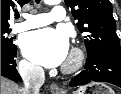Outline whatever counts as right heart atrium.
I'll return each instance as SVG.
<instances>
[{
	"mask_svg": "<svg viewBox=\"0 0 121 94\" xmlns=\"http://www.w3.org/2000/svg\"><path fill=\"white\" fill-rule=\"evenodd\" d=\"M19 71L21 75L28 77H33L40 74V68L27 59H23L19 63Z\"/></svg>",
	"mask_w": 121,
	"mask_h": 94,
	"instance_id": "d8ad5b80",
	"label": "right heart atrium"
}]
</instances>
